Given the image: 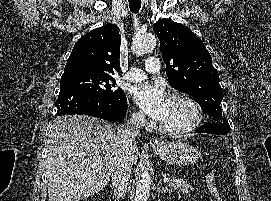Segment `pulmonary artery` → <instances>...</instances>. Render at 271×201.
I'll return each instance as SVG.
<instances>
[{"instance_id": "obj_1", "label": "pulmonary artery", "mask_w": 271, "mask_h": 201, "mask_svg": "<svg viewBox=\"0 0 271 201\" xmlns=\"http://www.w3.org/2000/svg\"><path fill=\"white\" fill-rule=\"evenodd\" d=\"M160 70V62L157 57H149L145 63V70L140 68H131L124 76L129 82H140L147 78V74H156Z\"/></svg>"}]
</instances>
